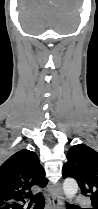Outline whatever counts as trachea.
Masks as SVG:
<instances>
[{
    "label": "trachea",
    "instance_id": "3493384b",
    "mask_svg": "<svg viewBox=\"0 0 98 209\" xmlns=\"http://www.w3.org/2000/svg\"><path fill=\"white\" fill-rule=\"evenodd\" d=\"M31 202L35 203L34 209H44L45 200L41 194L33 196Z\"/></svg>",
    "mask_w": 98,
    "mask_h": 209
}]
</instances>
